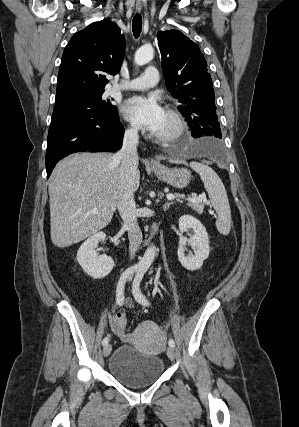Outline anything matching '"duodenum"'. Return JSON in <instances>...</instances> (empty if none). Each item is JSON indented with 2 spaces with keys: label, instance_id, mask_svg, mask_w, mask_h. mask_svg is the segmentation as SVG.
I'll use <instances>...</instances> for the list:
<instances>
[{
  "label": "duodenum",
  "instance_id": "duodenum-1",
  "mask_svg": "<svg viewBox=\"0 0 299 427\" xmlns=\"http://www.w3.org/2000/svg\"><path fill=\"white\" fill-rule=\"evenodd\" d=\"M157 232H158V226H157V225H155V226H153L152 234L154 235V234H156Z\"/></svg>",
  "mask_w": 299,
  "mask_h": 427
}]
</instances>
